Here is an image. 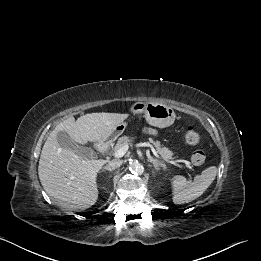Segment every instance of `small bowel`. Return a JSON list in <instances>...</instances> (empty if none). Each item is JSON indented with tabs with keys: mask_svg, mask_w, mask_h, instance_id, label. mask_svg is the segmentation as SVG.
<instances>
[{
	"mask_svg": "<svg viewBox=\"0 0 261 261\" xmlns=\"http://www.w3.org/2000/svg\"><path fill=\"white\" fill-rule=\"evenodd\" d=\"M146 132L149 134H154L155 133V129L153 128H146Z\"/></svg>",
	"mask_w": 261,
	"mask_h": 261,
	"instance_id": "small-bowel-1",
	"label": "small bowel"
}]
</instances>
